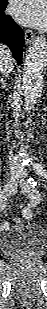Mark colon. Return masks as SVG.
<instances>
[{"label":"colon","mask_w":47,"mask_h":309,"mask_svg":"<svg viewBox=\"0 0 47 309\" xmlns=\"http://www.w3.org/2000/svg\"><path fill=\"white\" fill-rule=\"evenodd\" d=\"M23 214H24V216L26 217V218H30L31 216H32V213H31V211L29 210V209H25L24 211H23ZM21 221V219L20 218H18V217H16L15 218V222H20Z\"/></svg>","instance_id":"obj_1"}]
</instances>
